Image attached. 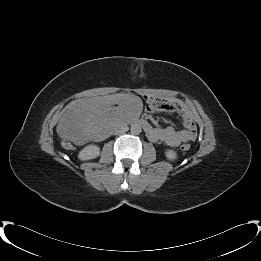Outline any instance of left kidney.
<instances>
[{"mask_svg":"<svg viewBox=\"0 0 261 261\" xmlns=\"http://www.w3.org/2000/svg\"><path fill=\"white\" fill-rule=\"evenodd\" d=\"M165 156L170 161H175L178 157L176 151H174L172 149H167L165 151Z\"/></svg>","mask_w":261,"mask_h":261,"instance_id":"obj_1","label":"left kidney"}]
</instances>
